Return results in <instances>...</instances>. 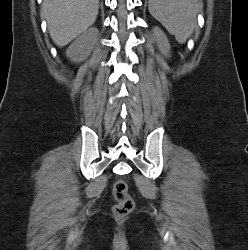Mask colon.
Instances as JSON below:
<instances>
[{
	"mask_svg": "<svg viewBox=\"0 0 248 250\" xmlns=\"http://www.w3.org/2000/svg\"><path fill=\"white\" fill-rule=\"evenodd\" d=\"M112 191L116 201L112 210L113 215L117 218L128 216L134 208V201L129 194L127 183L121 179L115 181Z\"/></svg>",
	"mask_w": 248,
	"mask_h": 250,
	"instance_id": "obj_1",
	"label": "colon"
}]
</instances>
